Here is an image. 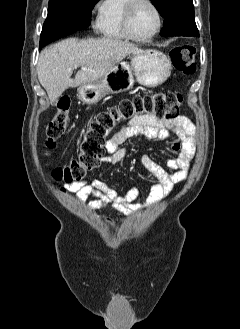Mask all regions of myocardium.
Listing matches in <instances>:
<instances>
[{"mask_svg": "<svg viewBox=\"0 0 240 329\" xmlns=\"http://www.w3.org/2000/svg\"><path fill=\"white\" fill-rule=\"evenodd\" d=\"M141 3L148 4L154 10L156 18H157L156 28L150 35L145 36V37H140V36L135 35L131 29V17H132L133 11H134L135 7ZM162 25H163V16H162L161 10L159 9V7L156 5V3L153 0H130V2L126 6L124 16H123V29H124L125 34L130 39L135 40V41H140V42L150 41V40L154 39L156 37V35L160 32Z\"/></svg>", "mask_w": 240, "mask_h": 329, "instance_id": "1", "label": "myocardium"}]
</instances>
